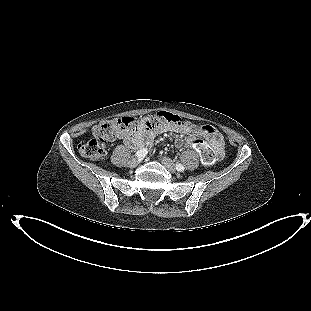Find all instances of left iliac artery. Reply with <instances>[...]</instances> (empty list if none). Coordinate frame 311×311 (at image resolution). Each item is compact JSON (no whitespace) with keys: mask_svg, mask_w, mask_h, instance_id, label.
Masks as SVG:
<instances>
[{"mask_svg":"<svg viewBox=\"0 0 311 311\" xmlns=\"http://www.w3.org/2000/svg\"><path fill=\"white\" fill-rule=\"evenodd\" d=\"M176 169H177V171L182 172V171H184L185 168L182 164H176Z\"/></svg>","mask_w":311,"mask_h":311,"instance_id":"obj_1","label":"left iliac artery"}]
</instances>
